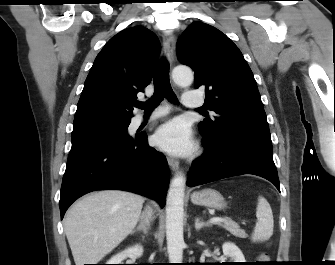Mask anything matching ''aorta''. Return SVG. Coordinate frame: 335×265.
<instances>
[{"mask_svg":"<svg viewBox=\"0 0 335 265\" xmlns=\"http://www.w3.org/2000/svg\"><path fill=\"white\" fill-rule=\"evenodd\" d=\"M177 85L189 86L194 75L190 68L177 66L172 71ZM186 179L179 172L172 179L166 199V240L170 263H182L183 260V218Z\"/></svg>","mask_w":335,"mask_h":265,"instance_id":"762f6f07","label":"aorta"}]
</instances>
